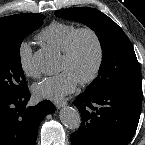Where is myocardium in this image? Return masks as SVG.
<instances>
[{
    "mask_svg": "<svg viewBox=\"0 0 145 145\" xmlns=\"http://www.w3.org/2000/svg\"><path fill=\"white\" fill-rule=\"evenodd\" d=\"M84 34H87L92 38L96 48V61L91 73L87 77L78 81L81 85H88L96 80L104 62V47L99 34L91 27H79L72 35L66 49L62 52V58L69 61L74 57L79 38Z\"/></svg>",
    "mask_w": 145,
    "mask_h": 145,
    "instance_id": "myocardium-1",
    "label": "myocardium"
}]
</instances>
